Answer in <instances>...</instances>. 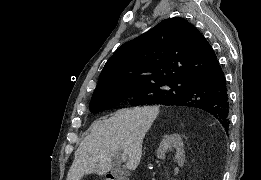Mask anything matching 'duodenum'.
Segmentation results:
<instances>
[{
	"label": "duodenum",
	"instance_id": "1",
	"mask_svg": "<svg viewBox=\"0 0 261 180\" xmlns=\"http://www.w3.org/2000/svg\"><path fill=\"white\" fill-rule=\"evenodd\" d=\"M107 180H129V177H121L120 173H107Z\"/></svg>",
	"mask_w": 261,
	"mask_h": 180
}]
</instances>
